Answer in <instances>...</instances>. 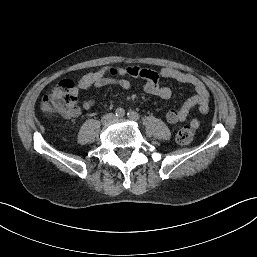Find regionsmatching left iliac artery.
Wrapping results in <instances>:
<instances>
[{
  "instance_id": "left-iliac-artery-1",
  "label": "left iliac artery",
  "mask_w": 257,
  "mask_h": 257,
  "mask_svg": "<svg viewBox=\"0 0 257 257\" xmlns=\"http://www.w3.org/2000/svg\"><path fill=\"white\" fill-rule=\"evenodd\" d=\"M127 116H128L130 119L135 120V121L139 120V118H140L139 114H138L137 112H134V111H129V112L127 113Z\"/></svg>"
}]
</instances>
